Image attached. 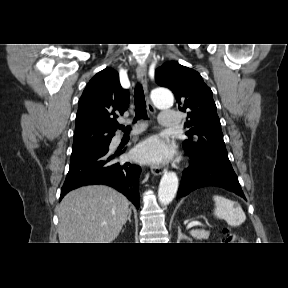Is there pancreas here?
<instances>
[{
	"label": "pancreas",
	"mask_w": 288,
	"mask_h": 288,
	"mask_svg": "<svg viewBox=\"0 0 288 288\" xmlns=\"http://www.w3.org/2000/svg\"><path fill=\"white\" fill-rule=\"evenodd\" d=\"M190 234L192 235V237H194L197 240H202V239L205 240L209 238L210 232L205 231L203 229H196V230H192Z\"/></svg>",
	"instance_id": "cf45deb5"
}]
</instances>
